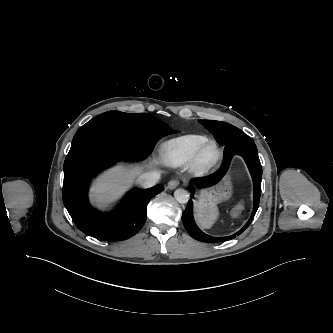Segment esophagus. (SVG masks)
Wrapping results in <instances>:
<instances>
[{
  "mask_svg": "<svg viewBox=\"0 0 333 333\" xmlns=\"http://www.w3.org/2000/svg\"><path fill=\"white\" fill-rule=\"evenodd\" d=\"M179 185V181L177 179H172L168 182V189L173 190Z\"/></svg>",
  "mask_w": 333,
  "mask_h": 333,
  "instance_id": "esophagus-1",
  "label": "esophagus"
}]
</instances>
